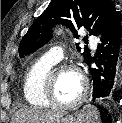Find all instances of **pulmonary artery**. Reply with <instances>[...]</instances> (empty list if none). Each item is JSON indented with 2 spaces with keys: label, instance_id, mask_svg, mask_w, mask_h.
<instances>
[{
  "label": "pulmonary artery",
  "instance_id": "1",
  "mask_svg": "<svg viewBox=\"0 0 122 123\" xmlns=\"http://www.w3.org/2000/svg\"><path fill=\"white\" fill-rule=\"evenodd\" d=\"M89 39L92 48L96 49L97 46L96 38L91 36ZM45 55L48 58L52 59L53 61L58 62L63 58V48L61 46L52 47Z\"/></svg>",
  "mask_w": 122,
  "mask_h": 123
}]
</instances>
